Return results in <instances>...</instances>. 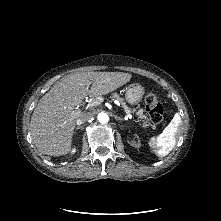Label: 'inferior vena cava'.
<instances>
[{"mask_svg": "<svg viewBox=\"0 0 221 221\" xmlns=\"http://www.w3.org/2000/svg\"><path fill=\"white\" fill-rule=\"evenodd\" d=\"M93 118V114L91 112H83L80 114V116L77 118L76 123L78 125H81Z\"/></svg>", "mask_w": 221, "mask_h": 221, "instance_id": "602c4592", "label": "inferior vena cava"}]
</instances>
